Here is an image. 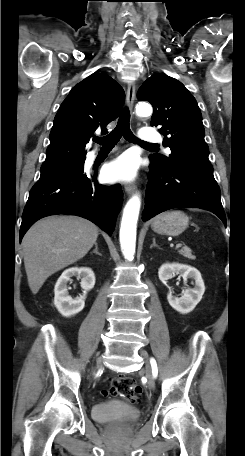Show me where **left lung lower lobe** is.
<instances>
[{"label":"left lung lower lobe","instance_id":"left-lung-lower-lobe-1","mask_svg":"<svg viewBox=\"0 0 245 456\" xmlns=\"http://www.w3.org/2000/svg\"><path fill=\"white\" fill-rule=\"evenodd\" d=\"M150 160L144 221L168 209L196 207L213 212L226 224L213 169L175 162L162 166Z\"/></svg>","mask_w":245,"mask_h":456}]
</instances>
